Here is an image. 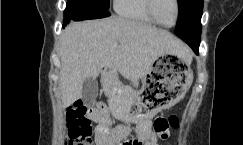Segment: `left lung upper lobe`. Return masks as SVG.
<instances>
[{
	"instance_id": "5c2ea615",
	"label": "left lung upper lobe",
	"mask_w": 243,
	"mask_h": 145,
	"mask_svg": "<svg viewBox=\"0 0 243 145\" xmlns=\"http://www.w3.org/2000/svg\"><path fill=\"white\" fill-rule=\"evenodd\" d=\"M179 15L186 16L190 23H194L201 28V16L203 11V0H177Z\"/></svg>"
}]
</instances>
